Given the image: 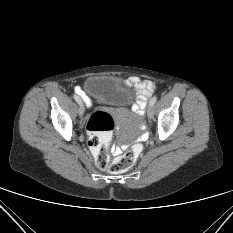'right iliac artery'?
I'll use <instances>...</instances> for the list:
<instances>
[{
  "label": "right iliac artery",
  "mask_w": 233,
  "mask_h": 233,
  "mask_svg": "<svg viewBox=\"0 0 233 233\" xmlns=\"http://www.w3.org/2000/svg\"><path fill=\"white\" fill-rule=\"evenodd\" d=\"M73 97H74L75 100H77V97H78V96L74 95Z\"/></svg>",
  "instance_id": "1"
}]
</instances>
